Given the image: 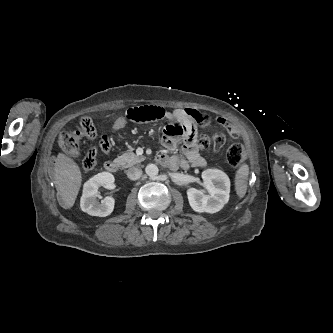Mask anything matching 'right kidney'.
Masks as SVG:
<instances>
[{"label": "right kidney", "instance_id": "1", "mask_svg": "<svg viewBox=\"0 0 333 333\" xmlns=\"http://www.w3.org/2000/svg\"><path fill=\"white\" fill-rule=\"evenodd\" d=\"M114 183V176L109 172H101L91 177L83 185V194L80 200L82 211L91 216L105 217L112 213L114 209V199L104 198L101 203L97 201L99 188L111 189Z\"/></svg>", "mask_w": 333, "mask_h": 333}]
</instances>
